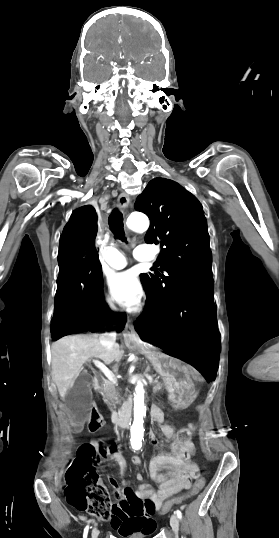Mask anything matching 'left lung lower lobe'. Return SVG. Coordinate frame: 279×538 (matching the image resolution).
Wrapping results in <instances>:
<instances>
[{
	"label": "left lung lower lobe",
	"instance_id": "1",
	"mask_svg": "<svg viewBox=\"0 0 279 538\" xmlns=\"http://www.w3.org/2000/svg\"><path fill=\"white\" fill-rule=\"evenodd\" d=\"M213 294V280L198 282L177 294L158 314H141L134 323L145 341L187 361L209 382L215 379L220 352Z\"/></svg>",
	"mask_w": 279,
	"mask_h": 538
}]
</instances>
